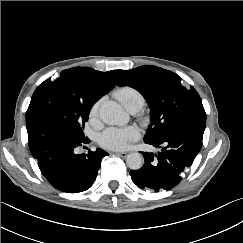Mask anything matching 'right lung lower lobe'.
<instances>
[{"label":"right lung lower lobe","instance_id":"98d812e1","mask_svg":"<svg viewBox=\"0 0 243 243\" xmlns=\"http://www.w3.org/2000/svg\"><path fill=\"white\" fill-rule=\"evenodd\" d=\"M26 128L30 152L53 187L62 192L78 193L92 186L107 152L97 148L95 152L76 154L77 147L90 140L47 116L26 118Z\"/></svg>","mask_w":243,"mask_h":243}]
</instances>
